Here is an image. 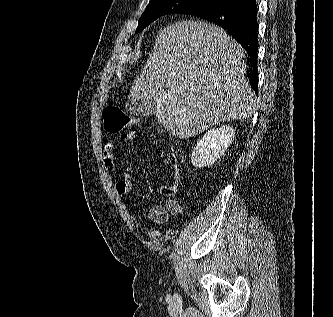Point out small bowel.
Returning <instances> with one entry per match:
<instances>
[{
  "label": "small bowel",
  "mask_w": 333,
  "mask_h": 317,
  "mask_svg": "<svg viewBox=\"0 0 333 317\" xmlns=\"http://www.w3.org/2000/svg\"><path fill=\"white\" fill-rule=\"evenodd\" d=\"M137 136L135 132H126L119 136L121 141L134 142ZM114 144L109 142L105 145L103 154V163L106 170L112 172L115 170V162L113 157ZM173 169V183L171 185H163L161 187V194L167 197H174L179 189L181 183L180 171L172 161ZM116 191L119 196L126 197L132 191L131 176L129 173H124L121 179L116 183ZM181 210L179 201L175 198L168 199L164 205L154 206L148 212V220L154 224H163L172 215H177ZM148 236L153 239H158L161 236V232L156 229H146L141 227Z\"/></svg>",
  "instance_id": "1"
}]
</instances>
